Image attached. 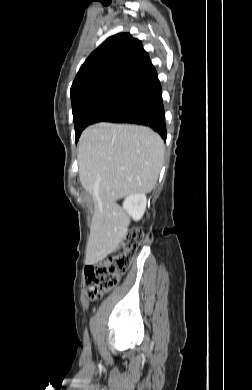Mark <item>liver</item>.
<instances>
[{
  "label": "liver",
  "instance_id": "obj_1",
  "mask_svg": "<svg viewBox=\"0 0 252 390\" xmlns=\"http://www.w3.org/2000/svg\"><path fill=\"white\" fill-rule=\"evenodd\" d=\"M164 150L162 138L144 126L101 122L83 131L78 149L79 179L95 203L87 264L106 258L126 237L130 219L116 201L154 188Z\"/></svg>",
  "mask_w": 252,
  "mask_h": 390
}]
</instances>
